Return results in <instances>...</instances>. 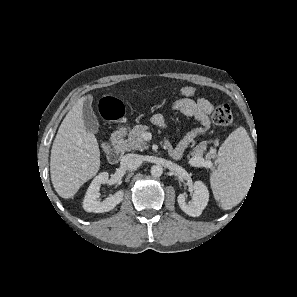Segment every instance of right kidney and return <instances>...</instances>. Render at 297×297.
<instances>
[{"instance_id":"right-kidney-1","label":"right kidney","mask_w":297,"mask_h":297,"mask_svg":"<svg viewBox=\"0 0 297 297\" xmlns=\"http://www.w3.org/2000/svg\"><path fill=\"white\" fill-rule=\"evenodd\" d=\"M109 174L102 172L97 175L87 189L83 200V208L87 212L104 213L113 210L123 200L124 192L119 190L111 197H107L104 201H100V187L108 182Z\"/></svg>"}]
</instances>
